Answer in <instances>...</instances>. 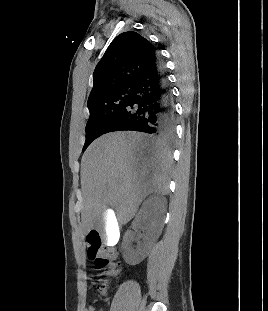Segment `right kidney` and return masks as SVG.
Returning a JSON list of instances; mask_svg holds the SVG:
<instances>
[{"label": "right kidney", "mask_w": 268, "mask_h": 311, "mask_svg": "<svg viewBox=\"0 0 268 311\" xmlns=\"http://www.w3.org/2000/svg\"><path fill=\"white\" fill-rule=\"evenodd\" d=\"M166 205V198L159 195H152L143 202L132 223V230L126 232L122 243L123 257L128 264H139L148 255L162 232ZM140 229L143 241L133 246Z\"/></svg>", "instance_id": "right-kidney-1"}]
</instances>
